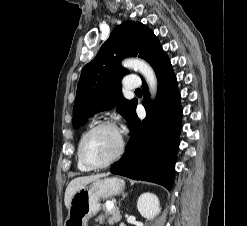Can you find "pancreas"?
I'll return each instance as SVG.
<instances>
[{
    "instance_id": "pancreas-1",
    "label": "pancreas",
    "mask_w": 247,
    "mask_h": 226,
    "mask_svg": "<svg viewBox=\"0 0 247 226\" xmlns=\"http://www.w3.org/2000/svg\"><path fill=\"white\" fill-rule=\"evenodd\" d=\"M103 211L105 212V214H101L98 218H97V221H104L105 219V215H107V208L106 206L104 205L103 206ZM108 215H111V217L108 218V223L109 224H112L116 221H118V217H117V208L114 207L113 209H111L110 211H108Z\"/></svg>"
}]
</instances>
